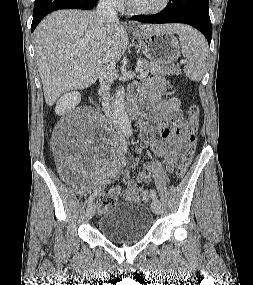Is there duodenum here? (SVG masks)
Instances as JSON below:
<instances>
[{
    "instance_id": "duodenum-1",
    "label": "duodenum",
    "mask_w": 253,
    "mask_h": 285,
    "mask_svg": "<svg viewBox=\"0 0 253 285\" xmlns=\"http://www.w3.org/2000/svg\"><path fill=\"white\" fill-rule=\"evenodd\" d=\"M129 113L133 118H137L139 115V101L135 96H131L129 99Z\"/></svg>"
}]
</instances>
